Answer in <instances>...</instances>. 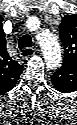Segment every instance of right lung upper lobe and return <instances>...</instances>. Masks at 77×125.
Instances as JSON below:
<instances>
[{"label":"right lung upper lobe","mask_w":77,"mask_h":125,"mask_svg":"<svg viewBox=\"0 0 77 125\" xmlns=\"http://www.w3.org/2000/svg\"><path fill=\"white\" fill-rule=\"evenodd\" d=\"M1 52H0V80L1 89L3 92H7L14 88L17 80L19 79L23 66L13 60L7 50L5 43V34L1 33Z\"/></svg>","instance_id":"cb5924a9"}]
</instances>
